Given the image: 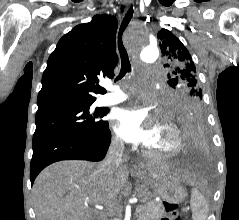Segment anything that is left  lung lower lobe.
Masks as SVG:
<instances>
[{
    "label": "left lung lower lobe",
    "instance_id": "obj_1",
    "mask_svg": "<svg viewBox=\"0 0 239 220\" xmlns=\"http://www.w3.org/2000/svg\"><path fill=\"white\" fill-rule=\"evenodd\" d=\"M203 111L202 107H189L181 110L174 118L185 142L183 164L203 166L208 161L209 139Z\"/></svg>",
    "mask_w": 239,
    "mask_h": 220
}]
</instances>
